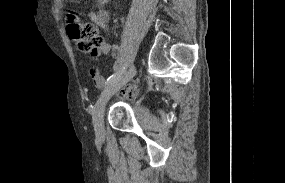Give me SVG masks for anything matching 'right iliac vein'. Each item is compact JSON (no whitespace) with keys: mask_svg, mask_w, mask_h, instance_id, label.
<instances>
[{"mask_svg":"<svg viewBox=\"0 0 285 183\" xmlns=\"http://www.w3.org/2000/svg\"><path fill=\"white\" fill-rule=\"evenodd\" d=\"M135 75V67L129 68L124 75L107 85L99 96L93 111V124L98 137L104 136V111L110 97Z\"/></svg>","mask_w":285,"mask_h":183,"instance_id":"obj_1","label":"right iliac vein"}]
</instances>
